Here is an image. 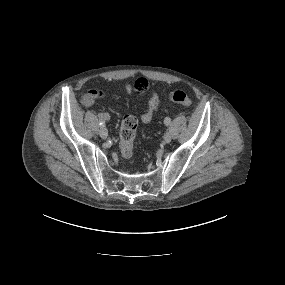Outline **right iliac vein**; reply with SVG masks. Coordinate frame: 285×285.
Listing matches in <instances>:
<instances>
[{
    "instance_id": "63e3f726",
    "label": "right iliac vein",
    "mask_w": 285,
    "mask_h": 285,
    "mask_svg": "<svg viewBox=\"0 0 285 285\" xmlns=\"http://www.w3.org/2000/svg\"><path fill=\"white\" fill-rule=\"evenodd\" d=\"M98 133L102 138H107V136H108V131L105 127H101L99 129Z\"/></svg>"
}]
</instances>
